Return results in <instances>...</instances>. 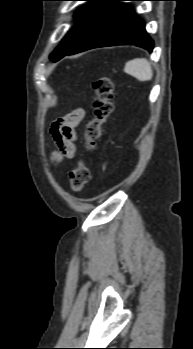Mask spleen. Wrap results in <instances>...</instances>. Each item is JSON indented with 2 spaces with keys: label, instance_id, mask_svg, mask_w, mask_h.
<instances>
[{
  "label": "spleen",
  "instance_id": "1",
  "mask_svg": "<svg viewBox=\"0 0 193 349\" xmlns=\"http://www.w3.org/2000/svg\"><path fill=\"white\" fill-rule=\"evenodd\" d=\"M124 71L140 81H149L153 77L151 65L145 58H136L127 62Z\"/></svg>",
  "mask_w": 193,
  "mask_h": 349
}]
</instances>
